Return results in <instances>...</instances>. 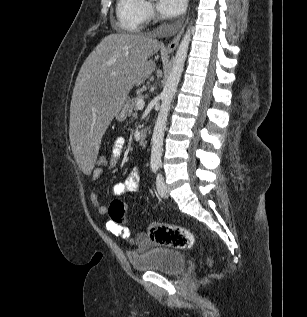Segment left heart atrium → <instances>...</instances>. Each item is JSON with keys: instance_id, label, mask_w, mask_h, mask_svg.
Returning a JSON list of instances; mask_svg holds the SVG:
<instances>
[{"instance_id": "1", "label": "left heart atrium", "mask_w": 307, "mask_h": 317, "mask_svg": "<svg viewBox=\"0 0 307 317\" xmlns=\"http://www.w3.org/2000/svg\"><path fill=\"white\" fill-rule=\"evenodd\" d=\"M186 0H158L157 8L166 17H176L185 8Z\"/></svg>"}]
</instances>
